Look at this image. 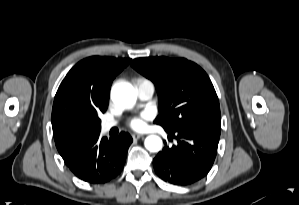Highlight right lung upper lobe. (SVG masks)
<instances>
[{"mask_svg": "<svg viewBox=\"0 0 299 205\" xmlns=\"http://www.w3.org/2000/svg\"><path fill=\"white\" fill-rule=\"evenodd\" d=\"M131 59L93 56L78 62L66 75L55 95L52 128L61 156L76 142L66 133V124L74 118H94L107 109L115 76Z\"/></svg>", "mask_w": 299, "mask_h": 205, "instance_id": "obj_1", "label": "right lung upper lobe"}]
</instances>
